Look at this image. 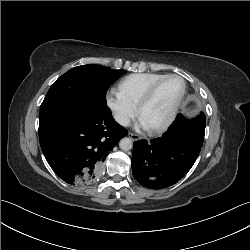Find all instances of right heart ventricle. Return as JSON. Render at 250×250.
Returning <instances> with one entry per match:
<instances>
[{
  "mask_svg": "<svg viewBox=\"0 0 250 250\" xmlns=\"http://www.w3.org/2000/svg\"><path fill=\"white\" fill-rule=\"evenodd\" d=\"M164 76L161 73H135L126 76L119 83V92L131 104L137 106L148 87Z\"/></svg>",
  "mask_w": 250,
  "mask_h": 250,
  "instance_id": "1",
  "label": "right heart ventricle"
}]
</instances>
